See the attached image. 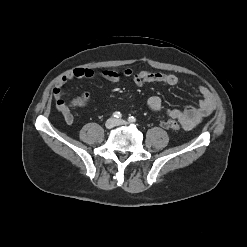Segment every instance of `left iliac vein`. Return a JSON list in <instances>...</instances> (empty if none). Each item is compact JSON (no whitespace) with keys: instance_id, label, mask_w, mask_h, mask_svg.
Masks as SVG:
<instances>
[{"instance_id":"obj_1","label":"left iliac vein","mask_w":247,"mask_h":247,"mask_svg":"<svg viewBox=\"0 0 247 247\" xmlns=\"http://www.w3.org/2000/svg\"><path fill=\"white\" fill-rule=\"evenodd\" d=\"M128 124V122L127 121H125V120H116V126H125V125H127Z\"/></svg>"}]
</instances>
